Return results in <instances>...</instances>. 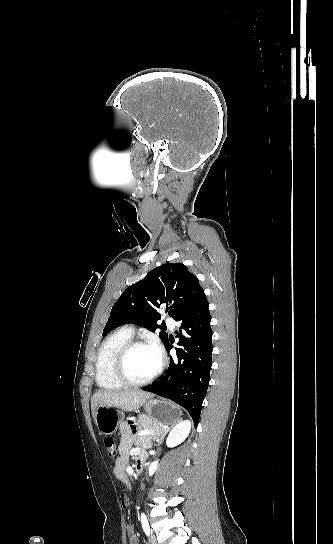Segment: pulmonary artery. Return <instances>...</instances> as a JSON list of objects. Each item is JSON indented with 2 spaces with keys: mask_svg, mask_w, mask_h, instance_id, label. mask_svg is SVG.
<instances>
[{
  "mask_svg": "<svg viewBox=\"0 0 333 544\" xmlns=\"http://www.w3.org/2000/svg\"><path fill=\"white\" fill-rule=\"evenodd\" d=\"M166 323H167L171 328H173V327L175 326V324H176V322H175L172 318H170V317H168V318L166 319ZM125 329H127V330H128L129 332H131V333L133 332V329H132L131 327H126Z\"/></svg>",
  "mask_w": 333,
  "mask_h": 544,
  "instance_id": "pulmonary-artery-1",
  "label": "pulmonary artery"
}]
</instances>
